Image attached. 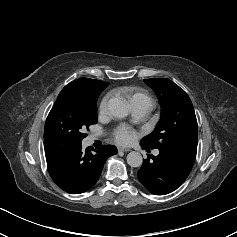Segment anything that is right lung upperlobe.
I'll return each instance as SVG.
<instances>
[{
	"label": "right lung upper lobe",
	"mask_w": 237,
	"mask_h": 237,
	"mask_svg": "<svg viewBox=\"0 0 237 237\" xmlns=\"http://www.w3.org/2000/svg\"><path fill=\"white\" fill-rule=\"evenodd\" d=\"M69 86L78 87L89 94L101 93L107 86L108 83L89 78H79L68 84Z\"/></svg>",
	"instance_id": "1"
}]
</instances>
